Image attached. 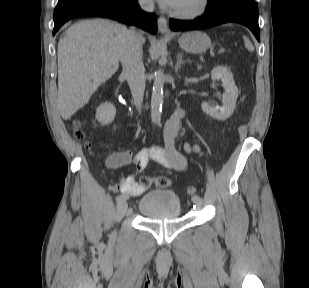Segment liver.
Instances as JSON below:
<instances>
[{
    "mask_svg": "<svg viewBox=\"0 0 309 288\" xmlns=\"http://www.w3.org/2000/svg\"><path fill=\"white\" fill-rule=\"evenodd\" d=\"M128 29L104 20H83L69 27L58 43V108L70 119L119 68ZM144 41V39H143Z\"/></svg>",
    "mask_w": 309,
    "mask_h": 288,
    "instance_id": "liver-1",
    "label": "liver"
}]
</instances>
